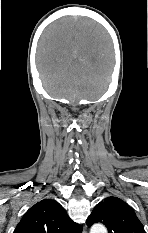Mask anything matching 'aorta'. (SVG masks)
<instances>
[{
	"label": "aorta",
	"instance_id": "aorta-1",
	"mask_svg": "<svg viewBox=\"0 0 148 233\" xmlns=\"http://www.w3.org/2000/svg\"><path fill=\"white\" fill-rule=\"evenodd\" d=\"M90 233H107V230L102 224H94L91 227Z\"/></svg>",
	"mask_w": 148,
	"mask_h": 233
}]
</instances>
